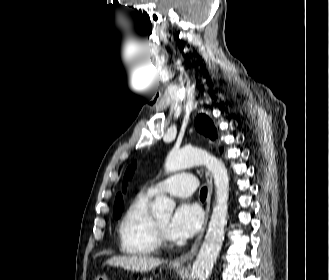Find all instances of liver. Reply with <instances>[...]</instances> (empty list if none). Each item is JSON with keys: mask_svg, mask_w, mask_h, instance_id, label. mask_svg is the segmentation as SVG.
Returning a JSON list of instances; mask_svg holds the SVG:
<instances>
[{"mask_svg": "<svg viewBox=\"0 0 329 280\" xmlns=\"http://www.w3.org/2000/svg\"><path fill=\"white\" fill-rule=\"evenodd\" d=\"M162 264V260L148 256H115L108 259L104 265L121 267L133 272H147Z\"/></svg>", "mask_w": 329, "mask_h": 280, "instance_id": "1", "label": "liver"}]
</instances>
